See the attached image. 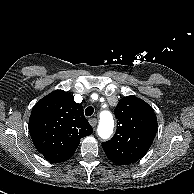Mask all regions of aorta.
I'll return each mask as SVG.
<instances>
[{"label":"aorta","instance_id":"obj_1","mask_svg":"<svg viewBox=\"0 0 194 194\" xmlns=\"http://www.w3.org/2000/svg\"><path fill=\"white\" fill-rule=\"evenodd\" d=\"M114 128V120L111 112L102 111L100 113V122L98 125L97 133L102 139H108L112 133Z\"/></svg>","mask_w":194,"mask_h":194}]
</instances>
